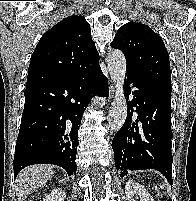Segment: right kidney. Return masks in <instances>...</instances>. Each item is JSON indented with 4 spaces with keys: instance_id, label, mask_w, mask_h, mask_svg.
I'll use <instances>...</instances> for the list:
<instances>
[{
    "instance_id": "obj_1",
    "label": "right kidney",
    "mask_w": 196,
    "mask_h": 201,
    "mask_svg": "<svg viewBox=\"0 0 196 201\" xmlns=\"http://www.w3.org/2000/svg\"><path fill=\"white\" fill-rule=\"evenodd\" d=\"M66 193L62 188H55L48 194L43 201H64Z\"/></svg>"
}]
</instances>
